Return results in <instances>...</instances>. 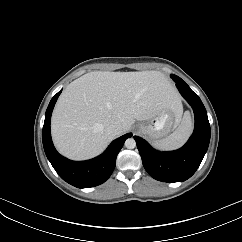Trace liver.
Masks as SVG:
<instances>
[{
	"label": "liver",
	"mask_w": 242,
	"mask_h": 242,
	"mask_svg": "<svg viewBox=\"0 0 242 242\" xmlns=\"http://www.w3.org/2000/svg\"><path fill=\"white\" fill-rule=\"evenodd\" d=\"M164 110L182 114L178 93L161 72L93 71L60 95L52 114V138L61 154L85 160L117 137L108 132L112 123H119L123 134L135 120L149 121Z\"/></svg>",
	"instance_id": "obj_1"
}]
</instances>
